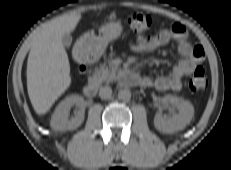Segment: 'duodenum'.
Returning a JSON list of instances; mask_svg holds the SVG:
<instances>
[{
    "mask_svg": "<svg viewBox=\"0 0 231 170\" xmlns=\"http://www.w3.org/2000/svg\"><path fill=\"white\" fill-rule=\"evenodd\" d=\"M123 79L130 84L140 83L139 76L132 70L127 69ZM100 87V80L97 77H92L89 83L84 88V94L88 98H93L96 96L98 89Z\"/></svg>",
    "mask_w": 231,
    "mask_h": 170,
    "instance_id": "410a0bca",
    "label": "duodenum"
}]
</instances>
